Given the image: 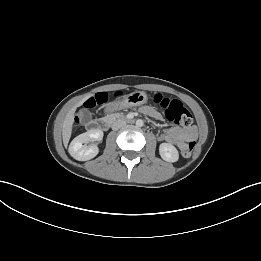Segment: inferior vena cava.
Returning <instances> with one entry per match:
<instances>
[{"label":"inferior vena cava","instance_id":"1","mask_svg":"<svg viewBox=\"0 0 261 261\" xmlns=\"http://www.w3.org/2000/svg\"><path fill=\"white\" fill-rule=\"evenodd\" d=\"M126 125V122L122 119L116 120L113 125H112V129L113 130H118L122 127H124Z\"/></svg>","mask_w":261,"mask_h":261}]
</instances>
